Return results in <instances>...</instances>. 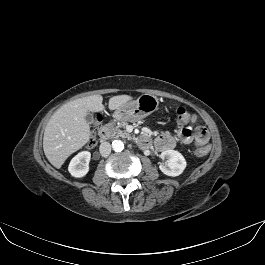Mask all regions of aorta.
<instances>
[{
  "instance_id": "1",
  "label": "aorta",
  "mask_w": 265,
  "mask_h": 265,
  "mask_svg": "<svg viewBox=\"0 0 265 265\" xmlns=\"http://www.w3.org/2000/svg\"><path fill=\"white\" fill-rule=\"evenodd\" d=\"M112 148L115 152H121L124 149V143L121 140H114L112 142Z\"/></svg>"
}]
</instances>
